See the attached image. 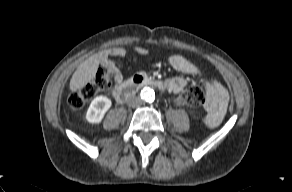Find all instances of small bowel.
Instances as JSON below:
<instances>
[{
	"label": "small bowel",
	"mask_w": 292,
	"mask_h": 192,
	"mask_svg": "<svg viewBox=\"0 0 292 192\" xmlns=\"http://www.w3.org/2000/svg\"><path fill=\"white\" fill-rule=\"evenodd\" d=\"M135 50L141 55H146L148 53L145 48L141 47H137ZM125 54V49L115 47L105 51L101 58L102 67L110 70L114 74L115 89L113 91V95L115 98L117 91L124 82V79L122 74L115 67L112 58L123 57ZM169 63L172 68L178 72L202 78L206 91L205 109L207 112L204 122L210 127L217 126L222 121L227 110L229 102V93L227 89L218 80L212 77L204 76L201 69L197 65L181 55H172L169 58ZM186 85L187 81L182 77H171L166 79L164 83L165 89L172 93L181 92Z\"/></svg>",
	"instance_id": "obj_1"
}]
</instances>
